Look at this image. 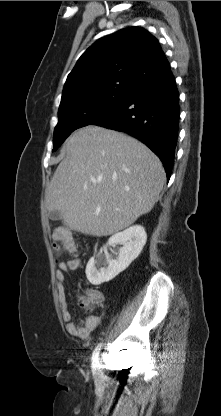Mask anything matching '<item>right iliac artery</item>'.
I'll list each match as a JSON object with an SVG mask.
<instances>
[{"label": "right iliac artery", "instance_id": "right-iliac-artery-1", "mask_svg": "<svg viewBox=\"0 0 221 416\" xmlns=\"http://www.w3.org/2000/svg\"><path fill=\"white\" fill-rule=\"evenodd\" d=\"M102 344H98V346L94 349L92 353V365L97 366L99 364L98 357L101 350Z\"/></svg>", "mask_w": 221, "mask_h": 416}]
</instances>
